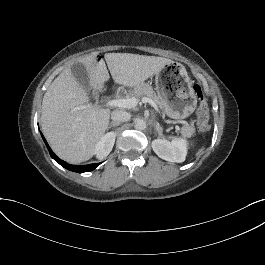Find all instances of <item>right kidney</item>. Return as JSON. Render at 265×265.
<instances>
[{
    "label": "right kidney",
    "instance_id": "right-kidney-1",
    "mask_svg": "<svg viewBox=\"0 0 265 265\" xmlns=\"http://www.w3.org/2000/svg\"><path fill=\"white\" fill-rule=\"evenodd\" d=\"M115 138L116 136L114 133H109L100 140L96 147V153L99 158H104L111 152L115 143Z\"/></svg>",
    "mask_w": 265,
    "mask_h": 265
}]
</instances>
